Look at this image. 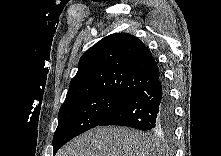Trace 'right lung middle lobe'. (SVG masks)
I'll return each mask as SVG.
<instances>
[{
    "label": "right lung middle lobe",
    "instance_id": "right-lung-middle-lobe-1",
    "mask_svg": "<svg viewBox=\"0 0 221 156\" xmlns=\"http://www.w3.org/2000/svg\"><path fill=\"white\" fill-rule=\"evenodd\" d=\"M129 97L116 94H92L66 101L59 111L53 138V153L67 141L98 126Z\"/></svg>",
    "mask_w": 221,
    "mask_h": 156
}]
</instances>
